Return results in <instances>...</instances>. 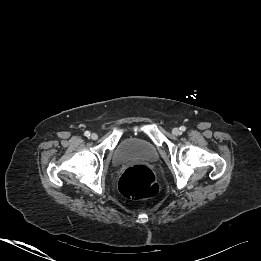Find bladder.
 <instances>
[{"mask_svg":"<svg viewBox=\"0 0 261 261\" xmlns=\"http://www.w3.org/2000/svg\"><path fill=\"white\" fill-rule=\"evenodd\" d=\"M157 157L158 151L150 141L126 138L118 144L113 161L116 165H121L130 161L154 162Z\"/></svg>","mask_w":261,"mask_h":261,"instance_id":"31cf9c89","label":"bladder"}]
</instances>
